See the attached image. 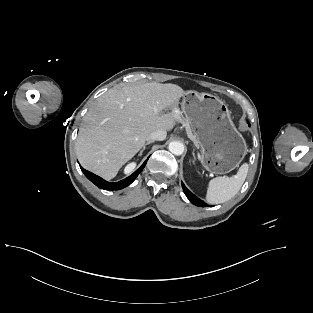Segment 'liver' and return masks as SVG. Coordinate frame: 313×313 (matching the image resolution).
Masks as SVG:
<instances>
[{"instance_id":"1","label":"liver","mask_w":313,"mask_h":313,"mask_svg":"<svg viewBox=\"0 0 313 313\" xmlns=\"http://www.w3.org/2000/svg\"><path fill=\"white\" fill-rule=\"evenodd\" d=\"M184 90L174 84L143 83L109 89L84 117L76 141L81 165L114 178L155 130L170 131L181 121L177 103ZM172 107L169 113L163 110Z\"/></svg>"}]
</instances>
